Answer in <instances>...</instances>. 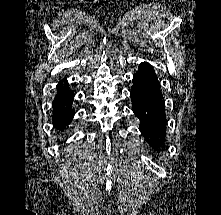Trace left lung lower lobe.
Instances as JSON below:
<instances>
[{
  "label": "left lung lower lobe",
  "mask_w": 221,
  "mask_h": 215,
  "mask_svg": "<svg viewBox=\"0 0 221 215\" xmlns=\"http://www.w3.org/2000/svg\"><path fill=\"white\" fill-rule=\"evenodd\" d=\"M130 97L132 110L141 122V134L154 149H158L164 137L163 101L155 71L146 62L141 63L133 75Z\"/></svg>",
  "instance_id": "left-lung-lower-lobe-1"
}]
</instances>
